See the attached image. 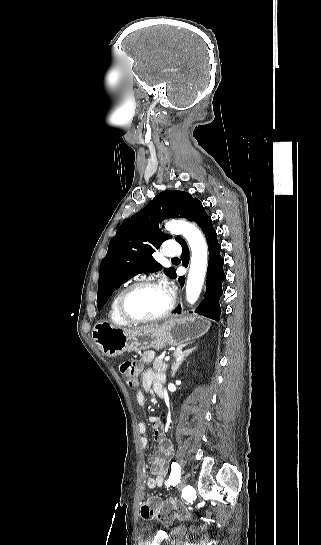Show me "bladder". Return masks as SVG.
I'll return each instance as SVG.
<instances>
[{
	"instance_id": "obj_1",
	"label": "bladder",
	"mask_w": 321,
	"mask_h": 545,
	"mask_svg": "<svg viewBox=\"0 0 321 545\" xmlns=\"http://www.w3.org/2000/svg\"><path fill=\"white\" fill-rule=\"evenodd\" d=\"M183 529H184L183 526L178 524V525L173 526V527L170 529V533H171L172 535L176 536V535L181 534L182 531H183Z\"/></svg>"
}]
</instances>
